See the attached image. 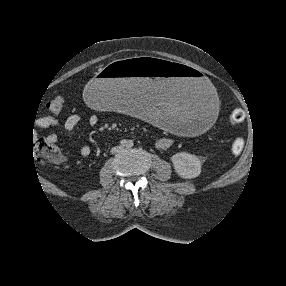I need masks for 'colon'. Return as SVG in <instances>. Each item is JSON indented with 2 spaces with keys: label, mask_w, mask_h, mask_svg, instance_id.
Returning <instances> with one entry per match:
<instances>
[{
  "label": "colon",
  "mask_w": 286,
  "mask_h": 286,
  "mask_svg": "<svg viewBox=\"0 0 286 286\" xmlns=\"http://www.w3.org/2000/svg\"><path fill=\"white\" fill-rule=\"evenodd\" d=\"M65 106V99L61 95H57L50 99L46 103L48 111L55 115H59L63 112ZM246 114L244 110L237 108L231 112L230 124L237 126L245 120ZM244 148V141L241 138H236L232 145L231 150L234 154H239ZM35 152L37 158L46 163H56L61 161L62 154L58 147L54 144L50 138H40L35 143Z\"/></svg>",
  "instance_id": "colon-1"
}]
</instances>
